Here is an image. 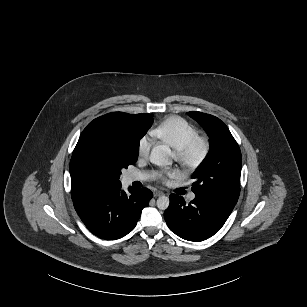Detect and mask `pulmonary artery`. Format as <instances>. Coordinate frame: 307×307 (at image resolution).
Instances as JSON below:
<instances>
[{"instance_id":"1","label":"pulmonary artery","mask_w":307,"mask_h":307,"mask_svg":"<svg viewBox=\"0 0 307 307\" xmlns=\"http://www.w3.org/2000/svg\"><path fill=\"white\" fill-rule=\"evenodd\" d=\"M149 175L147 174H139V173H130L128 175V179L129 180H148L149 179ZM189 198L190 199H194L195 198V195L194 194H190L189 195Z\"/></svg>"}]
</instances>
